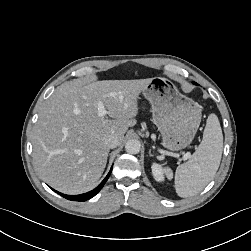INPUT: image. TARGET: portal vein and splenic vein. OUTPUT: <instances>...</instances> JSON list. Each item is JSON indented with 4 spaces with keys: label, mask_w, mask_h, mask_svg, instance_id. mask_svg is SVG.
I'll use <instances>...</instances> for the list:
<instances>
[{
    "label": "portal vein and splenic vein",
    "mask_w": 251,
    "mask_h": 251,
    "mask_svg": "<svg viewBox=\"0 0 251 251\" xmlns=\"http://www.w3.org/2000/svg\"><path fill=\"white\" fill-rule=\"evenodd\" d=\"M97 108H98V115L100 117H103L105 116L106 114H108V111L106 110V108L104 107V104L103 102L99 101L97 103ZM188 158H190V153H186L184 156H183V159L184 160H187Z\"/></svg>",
    "instance_id": "18ae733b"
}]
</instances>
